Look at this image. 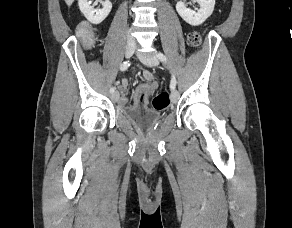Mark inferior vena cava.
Masks as SVG:
<instances>
[{
    "mask_svg": "<svg viewBox=\"0 0 292 228\" xmlns=\"http://www.w3.org/2000/svg\"><path fill=\"white\" fill-rule=\"evenodd\" d=\"M128 39L130 40V39H132V37L131 36H128Z\"/></svg>",
    "mask_w": 292,
    "mask_h": 228,
    "instance_id": "602c4592",
    "label": "inferior vena cava"
}]
</instances>
